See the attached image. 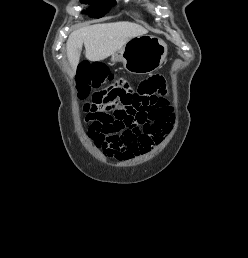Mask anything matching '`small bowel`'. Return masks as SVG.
<instances>
[{"instance_id": "c3829d8e", "label": "small bowel", "mask_w": 248, "mask_h": 258, "mask_svg": "<svg viewBox=\"0 0 248 258\" xmlns=\"http://www.w3.org/2000/svg\"><path fill=\"white\" fill-rule=\"evenodd\" d=\"M113 95L123 112L131 113V122L110 134H90L95 146L117 161L145 154L163 141L171 131L173 117L165 97V82L151 77L138 88L121 85V82L100 92ZM90 133V132H89Z\"/></svg>"}]
</instances>
